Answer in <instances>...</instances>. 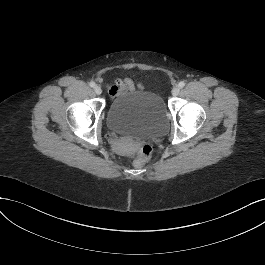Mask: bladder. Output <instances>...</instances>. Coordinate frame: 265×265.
<instances>
[{
    "label": "bladder",
    "instance_id": "1",
    "mask_svg": "<svg viewBox=\"0 0 265 265\" xmlns=\"http://www.w3.org/2000/svg\"><path fill=\"white\" fill-rule=\"evenodd\" d=\"M168 110L160 95L132 91L116 96L106 111L108 129L123 136L139 137L163 130Z\"/></svg>",
    "mask_w": 265,
    "mask_h": 265
}]
</instances>
